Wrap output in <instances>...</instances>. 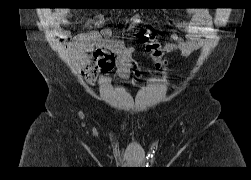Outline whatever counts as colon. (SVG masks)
<instances>
[{
    "mask_svg": "<svg viewBox=\"0 0 251 180\" xmlns=\"http://www.w3.org/2000/svg\"><path fill=\"white\" fill-rule=\"evenodd\" d=\"M139 39L145 44L146 50L157 61V66L162 65L163 49L154 35L143 32L139 34Z\"/></svg>",
    "mask_w": 251,
    "mask_h": 180,
    "instance_id": "5ec220e1",
    "label": "colon"
}]
</instances>
